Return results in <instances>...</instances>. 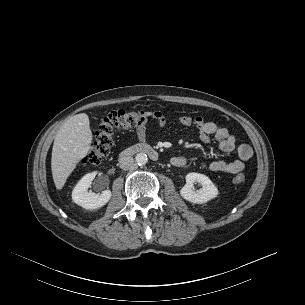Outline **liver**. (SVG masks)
Instances as JSON below:
<instances>
[{
	"label": "liver",
	"mask_w": 305,
	"mask_h": 305,
	"mask_svg": "<svg viewBox=\"0 0 305 305\" xmlns=\"http://www.w3.org/2000/svg\"><path fill=\"white\" fill-rule=\"evenodd\" d=\"M88 115L69 118L58 130L52 148L51 170L57 190H61L77 164L91 148L92 132Z\"/></svg>",
	"instance_id": "obj_1"
}]
</instances>
